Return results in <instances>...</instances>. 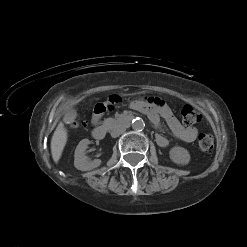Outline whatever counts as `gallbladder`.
Returning <instances> with one entry per match:
<instances>
[{
    "label": "gallbladder",
    "mask_w": 247,
    "mask_h": 247,
    "mask_svg": "<svg viewBox=\"0 0 247 247\" xmlns=\"http://www.w3.org/2000/svg\"><path fill=\"white\" fill-rule=\"evenodd\" d=\"M76 117V111L74 109H70L69 111H67L64 115V121L66 123H70L72 122Z\"/></svg>",
    "instance_id": "bac80fb5"
}]
</instances>
